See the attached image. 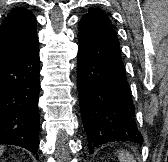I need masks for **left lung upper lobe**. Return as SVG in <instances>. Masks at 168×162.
Returning <instances> with one entry per match:
<instances>
[{
    "label": "left lung upper lobe",
    "instance_id": "5c2ea615",
    "mask_svg": "<svg viewBox=\"0 0 168 162\" xmlns=\"http://www.w3.org/2000/svg\"><path fill=\"white\" fill-rule=\"evenodd\" d=\"M87 15L97 16V17H99V18H101L111 24L109 17L101 9L91 8V9H89V13Z\"/></svg>",
    "mask_w": 168,
    "mask_h": 162
}]
</instances>
